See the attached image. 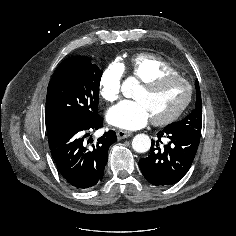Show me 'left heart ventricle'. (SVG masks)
Here are the masks:
<instances>
[{"mask_svg": "<svg viewBox=\"0 0 236 236\" xmlns=\"http://www.w3.org/2000/svg\"><path fill=\"white\" fill-rule=\"evenodd\" d=\"M186 95L187 88L183 82L169 80L151 90L140 87L135 98L145 104L151 118H161L175 111Z\"/></svg>", "mask_w": 236, "mask_h": 236, "instance_id": "left-heart-ventricle-1", "label": "left heart ventricle"}]
</instances>
